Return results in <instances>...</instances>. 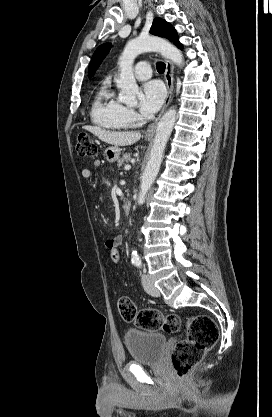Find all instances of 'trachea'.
I'll return each mask as SVG.
<instances>
[{
  "label": "trachea",
  "mask_w": 272,
  "mask_h": 417,
  "mask_svg": "<svg viewBox=\"0 0 272 417\" xmlns=\"http://www.w3.org/2000/svg\"><path fill=\"white\" fill-rule=\"evenodd\" d=\"M156 67H157V71H158L159 73H163V72L165 71V67H166V65H165V63H163V62H158V63L156 64Z\"/></svg>",
  "instance_id": "3493384b"
}]
</instances>
